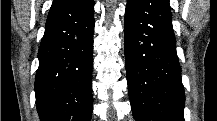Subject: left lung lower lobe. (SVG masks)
Wrapping results in <instances>:
<instances>
[{
  "label": "left lung lower lobe",
  "mask_w": 217,
  "mask_h": 121,
  "mask_svg": "<svg viewBox=\"0 0 217 121\" xmlns=\"http://www.w3.org/2000/svg\"><path fill=\"white\" fill-rule=\"evenodd\" d=\"M125 64L138 121H184L185 93L169 0H128Z\"/></svg>",
  "instance_id": "0a47b994"
}]
</instances>
